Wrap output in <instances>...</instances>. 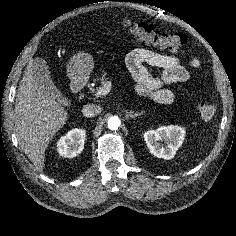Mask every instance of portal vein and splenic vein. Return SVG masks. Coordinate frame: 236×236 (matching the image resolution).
<instances>
[{"instance_id": "18ae733b", "label": "portal vein and splenic vein", "mask_w": 236, "mask_h": 236, "mask_svg": "<svg viewBox=\"0 0 236 236\" xmlns=\"http://www.w3.org/2000/svg\"><path fill=\"white\" fill-rule=\"evenodd\" d=\"M111 89H112V84L110 81H107V82H105L103 87H101L94 95L96 97L107 95Z\"/></svg>"}]
</instances>
